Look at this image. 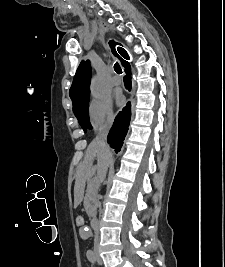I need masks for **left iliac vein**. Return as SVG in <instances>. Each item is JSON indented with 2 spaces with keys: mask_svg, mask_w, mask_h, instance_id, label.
I'll return each instance as SVG.
<instances>
[{
  "mask_svg": "<svg viewBox=\"0 0 225 267\" xmlns=\"http://www.w3.org/2000/svg\"><path fill=\"white\" fill-rule=\"evenodd\" d=\"M97 261H98V263H99L100 265H102V260H101V258L98 256V254H97Z\"/></svg>",
  "mask_w": 225,
  "mask_h": 267,
  "instance_id": "obj_1",
  "label": "left iliac vein"
}]
</instances>
